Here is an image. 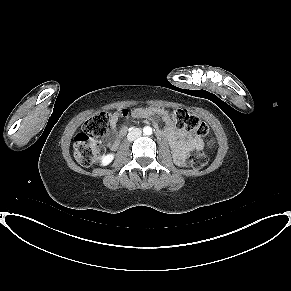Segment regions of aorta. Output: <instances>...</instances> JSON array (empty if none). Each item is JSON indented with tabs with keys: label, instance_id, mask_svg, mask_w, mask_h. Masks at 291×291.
<instances>
[{
	"label": "aorta",
	"instance_id": "obj_1",
	"mask_svg": "<svg viewBox=\"0 0 291 291\" xmlns=\"http://www.w3.org/2000/svg\"><path fill=\"white\" fill-rule=\"evenodd\" d=\"M143 133H144L145 135H151V134H152V128H151L150 126H145V127L143 128Z\"/></svg>",
	"mask_w": 291,
	"mask_h": 291
}]
</instances>
